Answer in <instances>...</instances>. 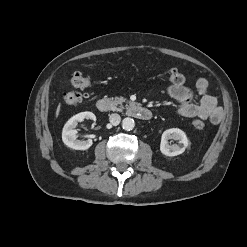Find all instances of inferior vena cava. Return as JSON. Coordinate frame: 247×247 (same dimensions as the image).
Here are the masks:
<instances>
[{
	"mask_svg": "<svg viewBox=\"0 0 247 247\" xmlns=\"http://www.w3.org/2000/svg\"><path fill=\"white\" fill-rule=\"evenodd\" d=\"M109 121L113 126H117L121 121V117L119 114L113 113L109 116Z\"/></svg>",
	"mask_w": 247,
	"mask_h": 247,
	"instance_id": "inferior-vena-cava-1",
	"label": "inferior vena cava"
}]
</instances>
